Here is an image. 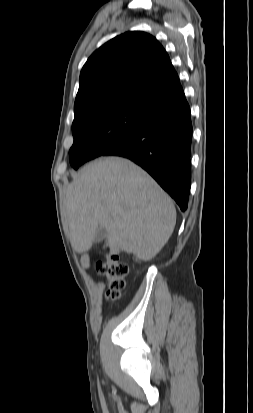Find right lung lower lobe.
Returning <instances> with one entry per match:
<instances>
[{"label":"right lung lower lobe","mask_w":253,"mask_h":413,"mask_svg":"<svg viewBox=\"0 0 253 413\" xmlns=\"http://www.w3.org/2000/svg\"><path fill=\"white\" fill-rule=\"evenodd\" d=\"M192 123L187 100L155 109L146 124L103 155L128 158L187 209L191 186Z\"/></svg>","instance_id":"98d812e1"}]
</instances>
